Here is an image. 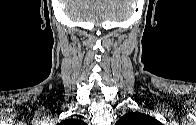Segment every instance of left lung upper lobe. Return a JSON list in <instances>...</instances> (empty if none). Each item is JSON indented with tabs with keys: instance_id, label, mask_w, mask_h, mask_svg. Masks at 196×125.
Wrapping results in <instances>:
<instances>
[{
	"instance_id": "obj_1",
	"label": "left lung upper lobe",
	"mask_w": 196,
	"mask_h": 125,
	"mask_svg": "<svg viewBox=\"0 0 196 125\" xmlns=\"http://www.w3.org/2000/svg\"><path fill=\"white\" fill-rule=\"evenodd\" d=\"M116 125H159V122L149 115L130 112L120 118Z\"/></svg>"
}]
</instances>
